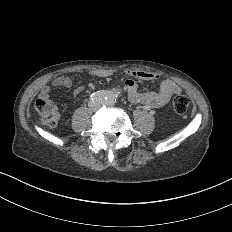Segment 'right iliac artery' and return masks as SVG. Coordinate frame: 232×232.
I'll return each mask as SVG.
<instances>
[{"instance_id":"obj_1","label":"right iliac artery","mask_w":232,"mask_h":232,"mask_svg":"<svg viewBox=\"0 0 232 232\" xmlns=\"http://www.w3.org/2000/svg\"><path fill=\"white\" fill-rule=\"evenodd\" d=\"M89 99L93 104L100 105L106 101V96L103 91H96L90 95Z\"/></svg>"}]
</instances>
